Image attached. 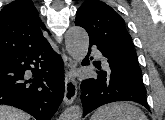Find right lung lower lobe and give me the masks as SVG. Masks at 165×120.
I'll return each mask as SVG.
<instances>
[{
    "label": "right lung lower lobe",
    "mask_w": 165,
    "mask_h": 120,
    "mask_svg": "<svg viewBox=\"0 0 165 120\" xmlns=\"http://www.w3.org/2000/svg\"><path fill=\"white\" fill-rule=\"evenodd\" d=\"M63 76V61L48 41L7 55L0 59V104L50 120L64 96Z\"/></svg>",
    "instance_id": "98d812e1"
}]
</instances>
